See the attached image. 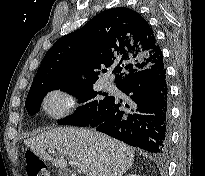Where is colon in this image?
I'll list each match as a JSON object with an SVG mask.
<instances>
[{
    "label": "colon",
    "instance_id": "colon-1",
    "mask_svg": "<svg viewBox=\"0 0 205 176\" xmlns=\"http://www.w3.org/2000/svg\"><path fill=\"white\" fill-rule=\"evenodd\" d=\"M24 161L27 176H50L47 165L33 151L24 153Z\"/></svg>",
    "mask_w": 205,
    "mask_h": 176
}]
</instances>
